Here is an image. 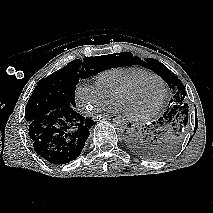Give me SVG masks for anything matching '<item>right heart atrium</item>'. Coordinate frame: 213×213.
Masks as SVG:
<instances>
[{"instance_id": "1", "label": "right heart atrium", "mask_w": 213, "mask_h": 213, "mask_svg": "<svg viewBox=\"0 0 213 213\" xmlns=\"http://www.w3.org/2000/svg\"><path fill=\"white\" fill-rule=\"evenodd\" d=\"M111 98L97 84L87 81L80 82L75 89L76 103L81 111L90 112L105 106Z\"/></svg>"}]
</instances>
